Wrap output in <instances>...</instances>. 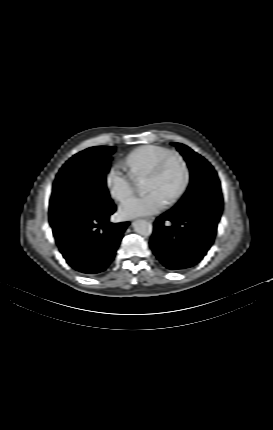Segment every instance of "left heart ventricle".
<instances>
[{
  "label": "left heart ventricle",
  "instance_id": "1",
  "mask_svg": "<svg viewBox=\"0 0 273 430\" xmlns=\"http://www.w3.org/2000/svg\"><path fill=\"white\" fill-rule=\"evenodd\" d=\"M183 179V170L178 161H171L159 178H147L146 191H158L167 201L179 188Z\"/></svg>",
  "mask_w": 273,
  "mask_h": 430
}]
</instances>
